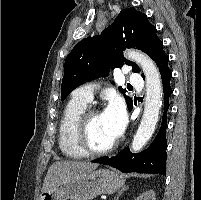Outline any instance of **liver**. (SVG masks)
Masks as SVG:
<instances>
[{"mask_svg": "<svg viewBox=\"0 0 201 200\" xmlns=\"http://www.w3.org/2000/svg\"><path fill=\"white\" fill-rule=\"evenodd\" d=\"M98 164L83 161H58L51 165L44 179L42 192L76 173L93 171Z\"/></svg>", "mask_w": 201, "mask_h": 200, "instance_id": "obj_1", "label": "liver"}]
</instances>
